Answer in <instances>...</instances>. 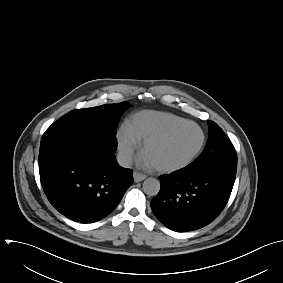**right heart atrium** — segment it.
Instances as JSON below:
<instances>
[{
	"instance_id": "obj_1",
	"label": "right heart atrium",
	"mask_w": 283,
	"mask_h": 283,
	"mask_svg": "<svg viewBox=\"0 0 283 283\" xmlns=\"http://www.w3.org/2000/svg\"><path fill=\"white\" fill-rule=\"evenodd\" d=\"M116 142L119 155L123 162L129 163L134 157L137 149L136 141L127 133L124 127H121L116 135Z\"/></svg>"
}]
</instances>
